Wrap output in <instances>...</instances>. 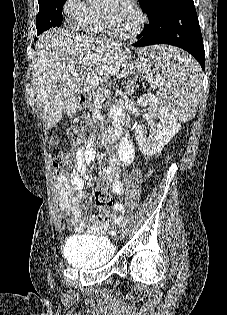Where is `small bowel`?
Listing matches in <instances>:
<instances>
[{
  "mask_svg": "<svg viewBox=\"0 0 227 315\" xmlns=\"http://www.w3.org/2000/svg\"><path fill=\"white\" fill-rule=\"evenodd\" d=\"M94 142V136H90L87 143L76 152L73 170L69 174L61 175L54 184L58 196V207L63 216L70 220L77 234L104 233L108 226L124 222L125 209L120 203L114 205L110 221L99 220L92 209L83 203L90 197L86 193L84 181L88 167L96 157ZM120 159L124 164L132 162L133 153L129 146L122 147ZM118 165V160L112 156L110 166L103 171L101 184L111 187L114 193L123 195L124 186L119 177ZM86 218L90 219V224H87Z\"/></svg>",
  "mask_w": 227,
  "mask_h": 315,
  "instance_id": "small-bowel-1",
  "label": "small bowel"
}]
</instances>
